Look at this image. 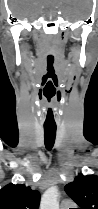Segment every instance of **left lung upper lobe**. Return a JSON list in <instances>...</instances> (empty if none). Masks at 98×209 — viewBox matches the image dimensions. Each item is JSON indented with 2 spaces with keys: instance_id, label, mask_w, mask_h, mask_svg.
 <instances>
[{
  "instance_id": "left-lung-upper-lobe-1",
  "label": "left lung upper lobe",
  "mask_w": 98,
  "mask_h": 209,
  "mask_svg": "<svg viewBox=\"0 0 98 209\" xmlns=\"http://www.w3.org/2000/svg\"><path fill=\"white\" fill-rule=\"evenodd\" d=\"M64 189L79 209H98V176L80 174Z\"/></svg>"
}]
</instances>
